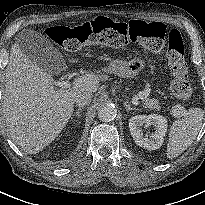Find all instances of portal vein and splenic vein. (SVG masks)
<instances>
[{"label":"portal vein and splenic vein","instance_id":"obj_1","mask_svg":"<svg viewBox=\"0 0 205 205\" xmlns=\"http://www.w3.org/2000/svg\"><path fill=\"white\" fill-rule=\"evenodd\" d=\"M55 85L58 87H61V88H69L71 86V84L68 82V80L66 78H62L61 81L55 82ZM132 103L135 106L139 105V101H138L137 96H133Z\"/></svg>","mask_w":205,"mask_h":205}]
</instances>
